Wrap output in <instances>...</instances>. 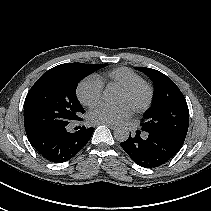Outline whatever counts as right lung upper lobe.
<instances>
[{"instance_id":"cb5924a9","label":"right lung upper lobe","mask_w":211,"mask_h":211,"mask_svg":"<svg viewBox=\"0 0 211 211\" xmlns=\"http://www.w3.org/2000/svg\"><path fill=\"white\" fill-rule=\"evenodd\" d=\"M69 63L67 64H61V65H58L50 70H48L47 72H56V71H60V70H63L65 69L67 66H68Z\"/></svg>"}]
</instances>
